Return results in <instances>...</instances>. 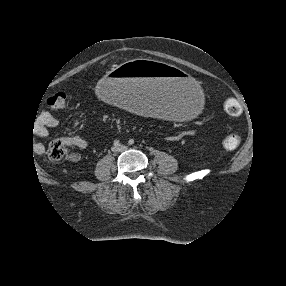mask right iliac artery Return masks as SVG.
Here are the masks:
<instances>
[{
	"mask_svg": "<svg viewBox=\"0 0 286 286\" xmlns=\"http://www.w3.org/2000/svg\"><path fill=\"white\" fill-rule=\"evenodd\" d=\"M114 145H115V146H120V142H119L118 140H115V141H114Z\"/></svg>",
	"mask_w": 286,
	"mask_h": 286,
	"instance_id": "1",
	"label": "right iliac artery"
}]
</instances>
